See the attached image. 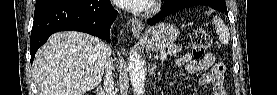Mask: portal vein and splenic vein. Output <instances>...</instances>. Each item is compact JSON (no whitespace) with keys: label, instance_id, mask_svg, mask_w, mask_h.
Here are the masks:
<instances>
[{"label":"portal vein and splenic vein","instance_id":"portal-vein-and-splenic-vein-1","mask_svg":"<svg viewBox=\"0 0 277 95\" xmlns=\"http://www.w3.org/2000/svg\"><path fill=\"white\" fill-rule=\"evenodd\" d=\"M160 59L163 61L166 59V54L165 53H162L161 56H160Z\"/></svg>","mask_w":277,"mask_h":95}]
</instances>
